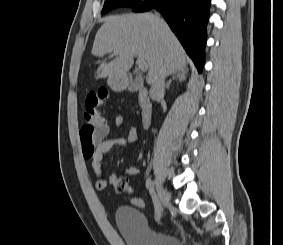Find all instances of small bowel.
<instances>
[{
  "mask_svg": "<svg viewBox=\"0 0 283 245\" xmlns=\"http://www.w3.org/2000/svg\"><path fill=\"white\" fill-rule=\"evenodd\" d=\"M115 125L127 129L126 137L108 138L110 133L109 125L104 122L102 125L87 127L83 126L80 130L81 150L84 158L89 160L96 174L95 188L104 190L109 185L114 186V182L119 177L117 173H112L108 179L102 175V160L115 146H126L133 143L138 138L137 129L134 125L129 124L125 117L119 115L115 118ZM140 172L137 166H130L123 170L124 177L135 176Z\"/></svg>",
  "mask_w": 283,
  "mask_h": 245,
  "instance_id": "small-bowel-1",
  "label": "small bowel"
}]
</instances>
